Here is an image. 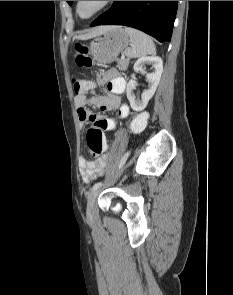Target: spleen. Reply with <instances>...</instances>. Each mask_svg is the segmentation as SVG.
Masks as SVG:
<instances>
[{
    "instance_id": "obj_1",
    "label": "spleen",
    "mask_w": 233,
    "mask_h": 295,
    "mask_svg": "<svg viewBox=\"0 0 233 295\" xmlns=\"http://www.w3.org/2000/svg\"><path fill=\"white\" fill-rule=\"evenodd\" d=\"M125 31L132 42V47L125 51L126 56L137 58L147 54H156L155 44L150 36L131 27H125Z\"/></svg>"
}]
</instances>
